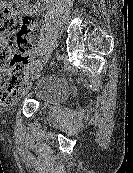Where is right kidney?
I'll return each instance as SVG.
<instances>
[{"mask_svg":"<svg viewBox=\"0 0 133 173\" xmlns=\"http://www.w3.org/2000/svg\"><path fill=\"white\" fill-rule=\"evenodd\" d=\"M19 1V6L25 8L26 10H30L31 8L28 7V5H26L28 3L29 0H17ZM43 1V0H42Z\"/></svg>","mask_w":133,"mask_h":173,"instance_id":"obj_1","label":"right kidney"}]
</instances>
